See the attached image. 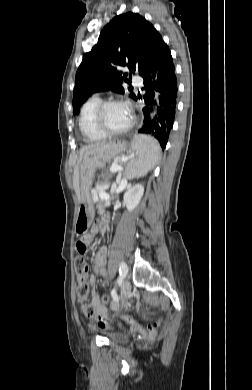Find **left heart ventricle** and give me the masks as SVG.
I'll list each match as a JSON object with an SVG mask.
<instances>
[{
  "mask_svg": "<svg viewBox=\"0 0 252 390\" xmlns=\"http://www.w3.org/2000/svg\"><path fill=\"white\" fill-rule=\"evenodd\" d=\"M104 122L111 130L125 128L131 120V111L124 104H112L104 112Z\"/></svg>",
  "mask_w": 252,
  "mask_h": 390,
  "instance_id": "1",
  "label": "left heart ventricle"
}]
</instances>
